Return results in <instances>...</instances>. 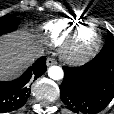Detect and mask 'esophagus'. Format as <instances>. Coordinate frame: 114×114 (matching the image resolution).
<instances>
[{"mask_svg": "<svg viewBox=\"0 0 114 114\" xmlns=\"http://www.w3.org/2000/svg\"><path fill=\"white\" fill-rule=\"evenodd\" d=\"M57 62H56V60L54 59V58H48L47 59V66L49 67V66H52V65H54V64H56Z\"/></svg>", "mask_w": 114, "mask_h": 114, "instance_id": "obj_1", "label": "esophagus"}]
</instances>
